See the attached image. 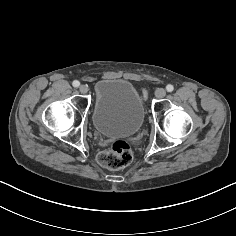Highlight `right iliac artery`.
<instances>
[{"instance_id": "1", "label": "right iliac artery", "mask_w": 236, "mask_h": 236, "mask_svg": "<svg viewBox=\"0 0 236 236\" xmlns=\"http://www.w3.org/2000/svg\"><path fill=\"white\" fill-rule=\"evenodd\" d=\"M72 85H73L74 87H79L80 82L77 81V80H75V81H73Z\"/></svg>"}]
</instances>
